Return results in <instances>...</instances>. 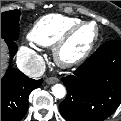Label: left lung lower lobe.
Listing matches in <instances>:
<instances>
[{"instance_id": "obj_1", "label": "left lung lower lobe", "mask_w": 121, "mask_h": 121, "mask_svg": "<svg viewBox=\"0 0 121 121\" xmlns=\"http://www.w3.org/2000/svg\"><path fill=\"white\" fill-rule=\"evenodd\" d=\"M62 81L67 96L59 110L67 121H103L109 117L121 103V41L101 45Z\"/></svg>"}]
</instances>
